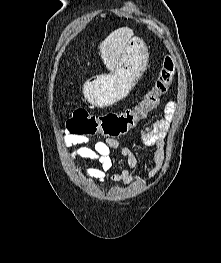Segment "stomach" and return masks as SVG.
<instances>
[{
    "mask_svg": "<svg viewBox=\"0 0 221 263\" xmlns=\"http://www.w3.org/2000/svg\"><path fill=\"white\" fill-rule=\"evenodd\" d=\"M149 52L144 42L132 38L111 74L98 75L83 85L85 99L104 108L125 98L147 69Z\"/></svg>",
    "mask_w": 221,
    "mask_h": 263,
    "instance_id": "1",
    "label": "stomach"
}]
</instances>
